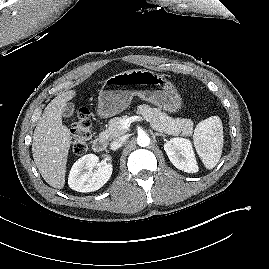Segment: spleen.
<instances>
[{
  "mask_svg": "<svg viewBox=\"0 0 269 269\" xmlns=\"http://www.w3.org/2000/svg\"><path fill=\"white\" fill-rule=\"evenodd\" d=\"M194 146L207 169H213L219 162L223 148V126L218 116H211L195 128Z\"/></svg>",
  "mask_w": 269,
  "mask_h": 269,
  "instance_id": "obj_1",
  "label": "spleen"
}]
</instances>
